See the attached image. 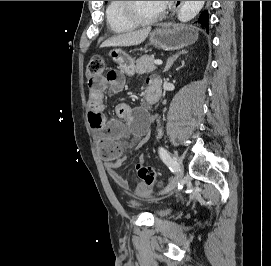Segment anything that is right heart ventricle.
I'll return each instance as SVG.
<instances>
[{"mask_svg": "<svg viewBox=\"0 0 271 266\" xmlns=\"http://www.w3.org/2000/svg\"><path fill=\"white\" fill-rule=\"evenodd\" d=\"M105 16L109 28L116 33L129 32L136 26L122 15L120 1H108Z\"/></svg>", "mask_w": 271, "mask_h": 266, "instance_id": "right-heart-ventricle-1", "label": "right heart ventricle"}]
</instances>
